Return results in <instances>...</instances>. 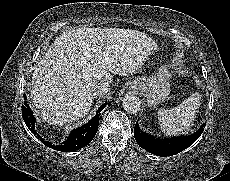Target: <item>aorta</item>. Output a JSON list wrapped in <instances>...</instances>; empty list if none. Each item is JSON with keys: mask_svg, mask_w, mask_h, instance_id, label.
Returning <instances> with one entry per match:
<instances>
[{"mask_svg": "<svg viewBox=\"0 0 230 181\" xmlns=\"http://www.w3.org/2000/svg\"><path fill=\"white\" fill-rule=\"evenodd\" d=\"M123 108L127 113H138L141 110V101L134 95H127L123 99Z\"/></svg>", "mask_w": 230, "mask_h": 181, "instance_id": "762f6f07", "label": "aorta"}]
</instances>
